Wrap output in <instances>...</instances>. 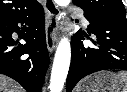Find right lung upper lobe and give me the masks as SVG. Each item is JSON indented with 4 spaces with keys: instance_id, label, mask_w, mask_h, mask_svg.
Wrapping results in <instances>:
<instances>
[{
    "instance_id": "obj_1",
    "label": "right lung upper lobe",
    "mask_w": 127,
    "mask_h": 92,
    "mask_svg": "<svg viewBox=\"0 0 127 92\" xmlns=\"http://www.w3.org/2000/svg\"><path fill=\"white\" fill-rule=\"evenodd\" d=\"M38 4L37 0H0V23L26 14Z\"/></svg>"
}]
</instances>
